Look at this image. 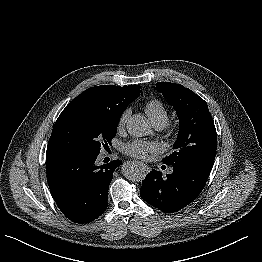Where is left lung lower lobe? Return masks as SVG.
Instances as JSON below:
<instances>
[{
    "instance_id": "0a47b994",
    "label": "left lung lower lobe",
    "mask_w": 262,
    "mask_h": 262,
    "mask_svg": "<svg viewBox=\"0 0 262 262\" xmlns=\"http://www.w3.org/2000/svg\"><path fill=\"white\" fill-rule=\"evenodd\" d=\"M210 172L195 168H173L162 177L152 170L142 181L140 195L148 204L167 213H174L189 205L203 190Z\"/></svg>"
}]
</instances>
